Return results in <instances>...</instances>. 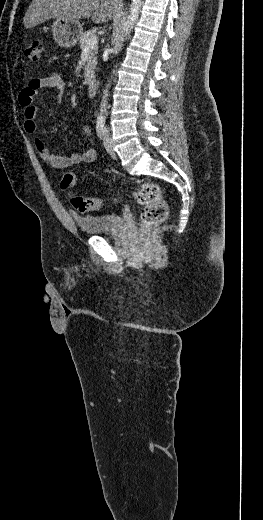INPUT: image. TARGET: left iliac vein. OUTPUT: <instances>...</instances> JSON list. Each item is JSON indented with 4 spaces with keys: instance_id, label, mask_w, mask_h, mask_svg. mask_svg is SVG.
I'll use <instances>...</instances> for the list:
<instances>
[{
    "instance_id": "obj_1",
    "label": "left iliac vein",
    "mask_w": 263,
    "mask_h": 520,
    "mask_svg": "<svg viewBox=\"0 0 263 520\" xmlns=\"http://www.w3.org/2000/svg\"><path fill=\"white\" fill-rule=\"evenodd\" d=\"M104 147L106 149V151L111 154V155H114L115 152H114V148H113V144H112V141H111V137H110V133L108 130H105L104 132Z\"/></svg>"
}]
</instances>
